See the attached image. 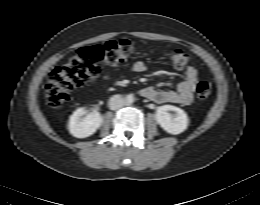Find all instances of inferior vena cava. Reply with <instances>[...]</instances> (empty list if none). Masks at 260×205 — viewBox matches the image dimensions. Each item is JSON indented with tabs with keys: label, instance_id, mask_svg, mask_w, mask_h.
I'll return each mask as SVG.
<instances>
[{
	"label": "inferior vena cava",
	"instance_id": "602c4592",
	"mask_svg": "<svg viewBox=\"0 0 260 205\" xmlns=\"http://www.w3.org/2000/svg\"><path fill=\"white\" fill-rule=\"evenodd\" d=\"M108 105L111 110H117L124 105V99L119 96H113L110 98Z\"/></svg>",
	"mask_w": 260,
	"mask_h": 205
}]
</instances>
